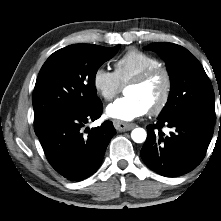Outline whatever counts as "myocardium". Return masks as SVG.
Masks as SVG:
<instances>
[{"instance_id":"myocardium-1","label":"myocardium","mask_w":221,"mask_h":221,"mask_svg":"<svg viewBox=\"0 0 221 221\" xmlns=\"http://www.w3.org/2000/svg\"><path fill=\"white\" fill-rule=\"evenodd\" d=\"M157 75L163 76L164 87H163V90H162V93L158 102L154 106H152L150 109H148L149 113L152 115H157L161 113L166 107V105L168 104L171 91H172V77H171L169 70L163 66L152 67L143 71L136 77H134L127 84V87L132 86V85H135V86L143 85Z\"/></svg>"}]
</instances>
